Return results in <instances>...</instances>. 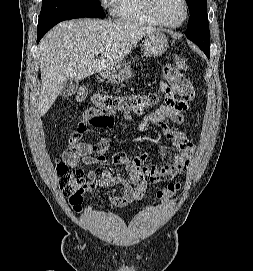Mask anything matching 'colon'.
Returning a JSON list of instances; mask_svg holds the SVG:
<instances>
[{
	"label": "colon",
	"instance_id": "colon-1",
	"mask_svg": "<svg viewBox=\"0 0 253 271\" xmlns=\"http://www.w3.org/2000/svg\"><path fill=\"white\" fill-rule=\"evenodd\" d=\"M174 62L180 70H187L188 64L185 59L175 56ZM180 90L194 92L192 84L184 79L183 83L178 85ZM90 97V91L86 86L77 88L75 99L78 102H85ZM159 97L156 93L145 96L137 95H113L107 93H97L91 96L93 112L103 115L121 111V112H140L157 103ZM59 186L63 194L68 198L71 205L77 206L81 202L82 194L88 190L89 183L84 178L83 170L73 163L58 161L56 165ZM179 183H171L158 192V198L166 201L179 191Z\"/></svg>",
	"mask_w": 253,
	"mask_h": 271
}]
</instances>
